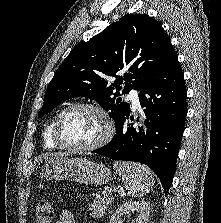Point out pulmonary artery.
<instances>
[{"label":"pulmonary artery","instance_id":"e3ab8cb5","mask_svg":"<svg viewBox=\"0 0 221 223\" xmlns=\"http://www.w3.org/2000/svg\"><path fill=\"white\" fill-rule=\"evenodd\" d=\"M127 98L131 100L134 109H138L140 107L139 93L137 90H131L127 95Z\"/></svg>","mask_w":221,"mask_h":223}]
</instances>
